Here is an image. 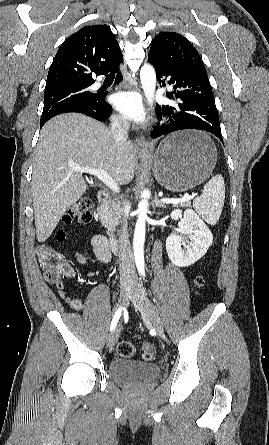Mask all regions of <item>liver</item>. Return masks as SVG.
<instances>
[{
    "instance_id": "liver-1",
    "label": "liver",
    "mask_w": 269,
    "mask_h": 445,
    "mask_svg": "<svg viewBox=\"0 0 269 445\" xmlns=\"http://www.w3.org/2000/svg\"><path fill=\"white\" fill-rule=\"evenodd\" d=\"M136 153L129 141L117 144L111 130L78 113L48 121L36 146L32 198L36 236L45 242L62 216L87 189L75 167L104 169L119 184H128L135 173Z\"/></svg>"
}]
</instances>
